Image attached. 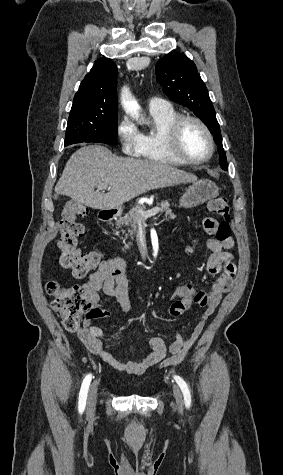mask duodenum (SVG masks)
I'll return each instance as SVG.
<instances>
[{
	"label": "duodenum",
	"instance_id": "410a0bca",
	"mask_svg": "<svg viewBox=\"0 0 283 475\" xmlns=\"http://www.w3.org/2000/svg\"><path fill=\"white\" fill-rule=\"evenodd\" d=\"M115 212L113 210H103L100 212L99 218L103 222H110L113 220Z\"/></svg>",
	"mask_w": 283,
	"mask_h": 475
}]
</instances>
